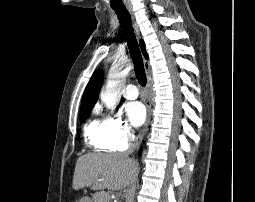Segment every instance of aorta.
<instances>
[{"label":"aorta","mask_w":255,"mask_h":202,"mask_svg":"<svg viewBox=\"0 0 255 202\" xmlns=\"http://www.w3.org/2000/svg\"><path fill=\"white\" fill-rule=\"evenodd\" d=\"M130 68L127 59L116 60L110 71L106 90L101 93V100L105 106L113 110L120 101L123 79Z\"/></svg>","instance_id":"obj_1"}]
</instances>
